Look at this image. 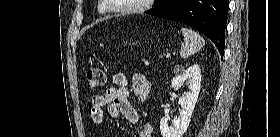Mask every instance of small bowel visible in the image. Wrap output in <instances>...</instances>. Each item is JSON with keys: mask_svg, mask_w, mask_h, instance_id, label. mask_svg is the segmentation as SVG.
<instances>
[{"mask_svg": "<svg viewBox=\"0 0 280 137\" xmlns=\"http://www.w3.org/2000/svg\"><path fill=\"white\" fill-rule=\"evenodd\" d=\"M113 84L104 94L91 97L89 115L92 123L103 122V107L107 106L110 118L124 116L129 121L139 124V137H152V125L141 119L129 99L131 94L140 100L146 99L151 89L150 80L142 73H135L129 82L126 74L117 72L113 75Z\"/></svg>", "mask_w": 280, "mask_h": 137, "instance_id": "c3829d8e", "label": "small bowel"}]
</instances>
